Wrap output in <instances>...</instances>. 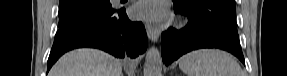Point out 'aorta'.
<instances>
[{
  "instance_id": "obj_1",
  "label": "aorta",
  "mask_w": 287,
  "mask_h": 76,
  "mask_svg": "<svg viewBox=\"0 0 287 76\" xmlns=\"http://www.w3.org/2000/svg\"><path fill=\"white\" fill-rule=\"evenodd\" d=\"M144 76H162V58L159 50L152 46L147 50Z\"/></svg>"
}]
</instances>
